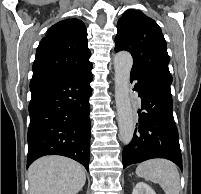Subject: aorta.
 I'll return each instance as SVG.
<instances>
[{
  "label": "aorta",
  "mask_w": 201,
  "mask_h": 194,
  "mask_svg": "<svg viewBox=\"0 0 201 194\" xmlns=\"http://www.w3.org/2000/svg\"><path fill=\"white\" fill-rule=\"evenodd\" d=\"M133 58L126 51L119 52L114 57L115 70V101L117 120L121 141L127 145L134 134V118L130 99V72Z\"/></svg>",
  "instance_id": "obj_1"
}]
</instances>
